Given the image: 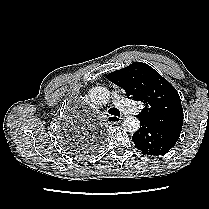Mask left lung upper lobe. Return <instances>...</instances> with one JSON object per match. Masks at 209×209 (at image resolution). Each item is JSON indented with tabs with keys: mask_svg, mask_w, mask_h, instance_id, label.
I'll return each mask as SVG.
<instances>
[{
	"mask_svg": "<svg viewBox=\"0 0 209 209\" xmlns=\"http://www.w3.org/2000/svg\"><path fill=\"white\" fill-rule=\"evenodd\" d=\"M108 80L126 91L127 97L144 103L140 121L181 133L183 109L177 90L156 70L142 62L111 72Z\"/></svg>",
	"mask_w": 209,
	"mask_h": 209,
	"instance_id": "left-lung-upper-lobe-1",
	"label": "left lung upper lobe"
}]
</instances>
